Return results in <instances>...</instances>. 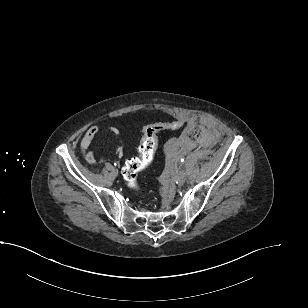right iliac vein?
<instances>
[{"label": "right iliac vein", "mask_w": 308, "mask_h": 308, "mask_svg": "<svg viewBox=\"0 0 308 308\" xmlns=\"http://www.w3.org/2000/svg\"><path fill=\"white\" fill-rule=\"evenodd\" d=\"M115 174H116V175L118 174V170H117V169H115Z\"/></svg>", "instance_id": "right-iliac-vein-1"}]
</instances>
